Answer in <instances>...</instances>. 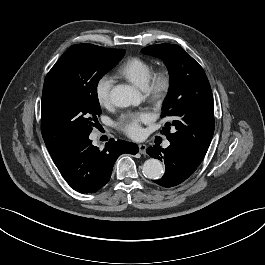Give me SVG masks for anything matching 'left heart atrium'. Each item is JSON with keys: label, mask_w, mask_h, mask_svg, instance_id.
Segmentation results:
<instances>
[{"label": "left heart atrium", "mask_w": 265, "mask_h": 265, "mask_svg": "<svg viewBox=\"0 0 265 265\" xmlns=\"http://www.w3.org/2000/svg\"><path fill=\"white\" fill-rule=\"evenodd\" d=\"M150 120V114L146 111H141L121 116L117 122V126L131 138L137 139L143 134L141 125L148 123Z\"/></svg>", "instance_id": "1"}]
</instances>
